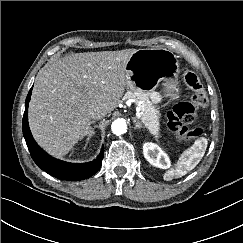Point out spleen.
<instances>
[{"instance_id": "obj_1", "label": "spleen", "mask_w": 243, "mask_h": 243, "mask_svg": "<svg viewBox=\"0 0 243 243\" xmlns=\"http://www.w3.org/2000/svg\"><path fill=\"white\" fill-rule=\"evenodd\" d=\"M208 141L206 138L201 137L197 139L194 144L185 150L179 157L175 169L168 170L163 178L166 181L172 180L174 177H182L196 167L205 154Z\"/></svg>"}]
</instances>
